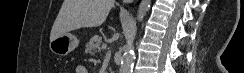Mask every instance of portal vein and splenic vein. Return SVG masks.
I'll return each mask as SVG.
<instances>
[{"label":"portal vein and splenic vein","mask_w":244,"mask_h":73,"mask_svg":"<svg viewBox=\"0 0 244 73\" xmlns=\"http://www.w3.org/2000/svg\"><path fill=\"white\" fill-rule=\"evenodd\" d=\"M107 48V45L106 44H102V49H106Z\"/></svg>","instance_id":"portal-vein-and-splenic-vein-1"}]
</instances>
